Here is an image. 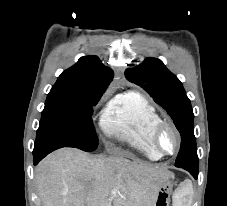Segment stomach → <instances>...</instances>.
<instances>
[{
    "label": "stomach",
    "mask_w": 227,
    "mask_h": 206,
    "mask_svg": "<svg viewBox=\"0 0 227 206\" xmlns=\"http://www.w3.org/2000/svg\"><path fill=\"white\" fill-rule=\"evenodd\" d=\"M172 192L171 181L165 182L159 189L153 206H171L170 194Z\"/></svg>",
    "instance_id": "1"
}]
</instances>
